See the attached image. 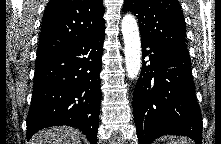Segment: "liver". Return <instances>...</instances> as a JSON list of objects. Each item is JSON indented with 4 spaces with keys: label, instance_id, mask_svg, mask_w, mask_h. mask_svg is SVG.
<instances>
[{
    "label": "liver",
    "instance_id": "liver-1",
    "mask_svg": "<svg viewBox=\"0 0 221 144\" xmlns=\"http://www.w3.org/2000/svg\"><path fill=\"white\" fill-rule=\"evenodd\" d=\"M81 133L72 127L59 126L36 133L30 144H81Z\"/></svg>",
    "mask_w": 221,
    "mask_h": 144
}]
</instances>
